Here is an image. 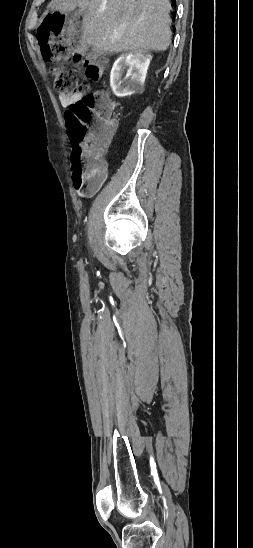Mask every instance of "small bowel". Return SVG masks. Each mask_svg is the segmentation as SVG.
Listing matches in <instances>:
<instances>
[{"mask_svg": "<svg viewBox=\"0 0 253 548\" xmlns=\"http://www.w3.org/2000/svg\"><path fill=\"white\" fill-rule=\"evenodd\" d=\"M59 98H60V101H61L62 105L68 106V105H71L72 103L78 101L79 99H81V94H73V95H69V96L60 95ZM106 177H107V172H106V169H105L102 176L99 179H97L95 182H93L92 184H89V185H86V186H76L75 185V189L77 191V194L81 197H89V196L94 195L100 189V187L103 185V183L106 180Z\"/></svg>", "mask_w": 253, "mask_h": 548, "instance_id": "obj_1", "label": "small bowel"}]
</instances>
